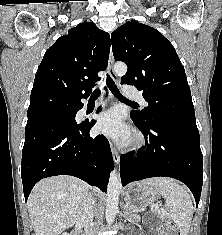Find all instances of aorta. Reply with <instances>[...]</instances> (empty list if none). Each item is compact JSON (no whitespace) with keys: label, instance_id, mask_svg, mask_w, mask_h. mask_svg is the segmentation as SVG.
<instances>
[{"label":"aorta","instance_id":"aorta-1","mask_svg":"<svg viewBox=\"0 0 222 235\" xmlns=\"http://www.w3.org/2000/svg\"><path fill=\"white\" fill-rule=\"evenodd\" d=\"M127 72V66L125 63L118 62L114 65V73L117 76H124ZM122 188L120 174L114 169L109 177V183L107 188L106 198V221L108 224H112L115 220L118 212L119 195Z\"/></svg>","mask_w":222,"mask_h":235}]
</instances>
